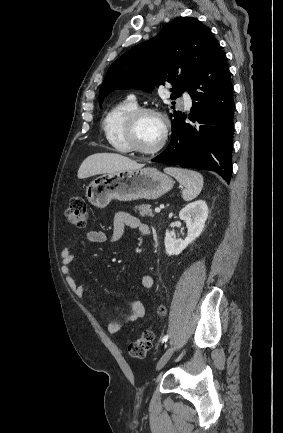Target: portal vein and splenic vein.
<instances>
[{"instance_id": "obj_1", "label": "portal vein and splenic vein", "mask_w": 283, "mask_h": 433, "mask_svg": "<svg viewBox=\"0 0 283 433\" xmlns=\"http://www.w3.org/2000/svg\"><path fill=\"white\" fill-rule=\"evenodd\" d=\"M161 208H155V212H160Z\"/></svg>"}]
</instances>
